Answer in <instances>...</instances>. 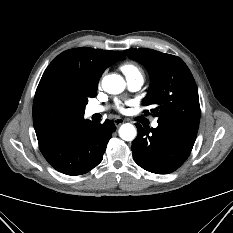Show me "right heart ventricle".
<instances>
[{"label":"right heart ventricle","instance_id":"1","mask_svg":"<svg viewBox=\"0 0 233 233\" xmlns=\"http://www.w3.org/2000/svg\"><path fill=\"white\" fill-rule=\"evenodd\" d=\"M121 70L125 74L127 79L138 78V77L143 78L142 69L138 65H136L135 63H132V62L124 63L121 66Z\"/></svg>","mask_w":233,"mask_h":233}]
</instances>
